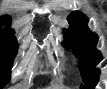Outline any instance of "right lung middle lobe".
I'll list each match as a JSON object with an SVG mask.
<instances>
[{
    "instance_id": "obj_1",
    "label": "right lung middle lobe",
    "mask_w": 107,
    "mask_h": 89,
    "mask_svg": "<svg viewBox=\"0 0 107 89\" xmlns=\"http://www.w3.org/2000/svg\"><path fill=\"white\" fill-rule=\"evenodd\" d=\"M13 31L5 29L0 31V87L2 88L11 76L12 62L17 53L18 44Z\"/></svg>"
}]
</instances>
